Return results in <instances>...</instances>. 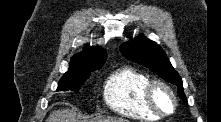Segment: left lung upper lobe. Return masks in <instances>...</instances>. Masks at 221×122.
<instances>
[{
	"label": "left lung upper lobe",
	"instance_id": "1",
	"mask_svg": "<svg viewBox=\"0 0 221 122\" xmlns=\"http://www.w3.org/2000/svg\"><path fill=\"white\" fill-rule=\"evenodd\" d=\"M120 50L127 59L148 67L164 80L178 86V95L187 102L182 79L173 69L165 52L155 42L141 36L121 45Z\"/></svg>",
	"mask_w": 221,
	"mask_h": 122
}]
</instances>
